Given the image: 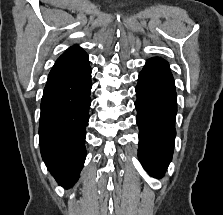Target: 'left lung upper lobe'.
Wrapping results in <instances>:
<instances>
[{"instance_id":"1","label":"left lung upper lobe","mask_w":223,"mask_h":215,"mask_svg":"<svg viewBox=\"0 0 223 215\" xmlns=\"http://www.w3.org/2000/svg\"><path fill=\"white\" fill-rule=\"evenodd\" d=\"M152 59H161V58L155 57V58H152Z\"/></svg>"}]
</instances>
